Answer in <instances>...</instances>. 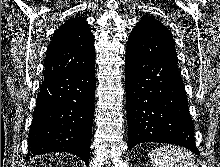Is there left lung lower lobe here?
<instances>
[{
  "instance_id": "1",
  "label": "left lung lower lobe",
  "mask_w": 220,
  "mask_h": 167,
  "mask_svg": "<svg viewBox=\"0 0 220 167\" xmlns=\"http://www.w3.org/2000/svg\"><path fill=\"white\" fill-rule=\"evenodd\" d=\"M125 75L129 149L142 142H159L199 154L177 64L126 51Z\"/></svg>"
}]
</instances>
